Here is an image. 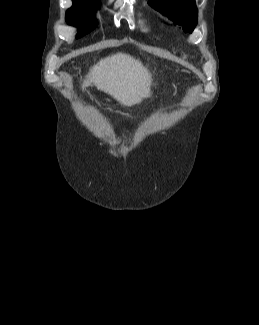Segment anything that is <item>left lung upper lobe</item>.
Listing matches in <instances>:
<instances>
[{
	"mask_svg": "<svg viewBox=\"0 0 259 325\" xmlns=\"http://www.w3.org/2000/svg\"><path fill=\"white\" fill-rule=\"evenodd\" d=\"M148 4L181 25L184 32L192 33L197 24L195 0H149Z\"/></svg>",
	"mask_w": 259,
	"mask_h": 325,
	"instance_id": "1",
	"label": "left lung upper lobe"
}]
</instances>
